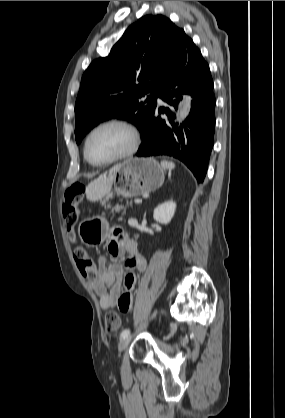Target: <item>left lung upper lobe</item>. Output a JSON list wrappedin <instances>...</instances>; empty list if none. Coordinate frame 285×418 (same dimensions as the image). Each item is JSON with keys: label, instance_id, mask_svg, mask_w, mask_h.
<instances>
[{"label": "left lung upper lobe", "instance_id": "1", "mask_svg": "<svg viewBox=\"0 0 285 418\" xmlns=\"http://www.w3.org/2000/svg\"><path fill=\"white\" fill-rule=\"evenodd\" d=\"M185 35L167 17L147 15L125 31L107 57L94 60L83 74L75 104L76 142L111 118L135 124L143 139L162 79ZM147 93L146 101H139Z\"/></svg>", "mask_w": 285, "mask_h": 418}]
</instances>
